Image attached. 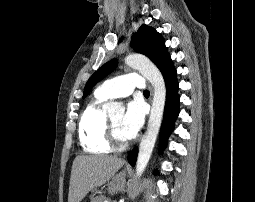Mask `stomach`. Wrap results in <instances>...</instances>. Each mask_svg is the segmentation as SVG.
Segmentation results:
<instances>
[{"label": "stomach", "instance_id": "stomach-1", "mask_svg": "<svg viewBox=\"0 0 255 202\" xmlns=\"http://www.w3.org/2000/svg\"><path fill=\"white\" fill-rule=\"evenodd\" d=\"M126 185V181H125ZM125 186H107V189L110 193H117L118 191H121L124 189ZM94 194L98 193L97 190L93 191Z\"/></svg>", "mask_w": 255, "mask_h": 202}]
</instances>
